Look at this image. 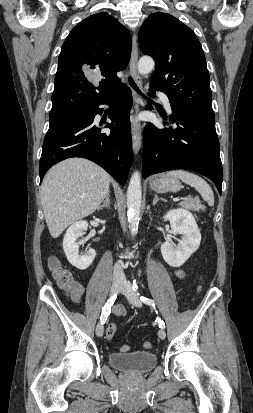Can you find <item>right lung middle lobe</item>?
Masks as SVG:
<instances>
[{"label":"right lung middle lobe","instance_id":"1","mask_svg":"<svg viewBox=\"0 0 253 413\" xmlns=\"http://www.w3.org/2000/svg\"><path fill=\"white\" fill-rule=\"evenodd\" d=\"M80 114H81V111L71 113V114L61 115V116L49 117L50 126L61 123V122H65L67 120H70L72 118L79 116Z\"/></svg>","mask_w":253,"mask_h":413}]
</instances>
